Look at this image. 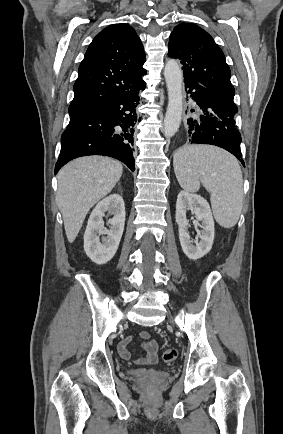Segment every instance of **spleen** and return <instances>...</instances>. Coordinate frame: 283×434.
Listing matches in <instances>:
<instances>
[{
    "mask_svg": "<svg viewBox=\"0 0 283 434\" xmlns=\"http://www.w3.org/2000/svg\"><path fill=\"white\" fill-rule=\"evenodd\" d=\"M173 166L185 191L196 192L203 184L211 195L213 215L220 226H235L243 205V177L233 155L214 146L189 145L177 151Z\"/></svg>",
    "mask_w": 283,
    "mask_h": 434,
    "instance_id": "1",
    "label": "spleen"
}]
</instances>
